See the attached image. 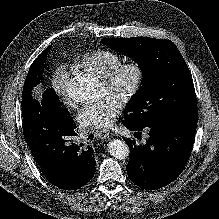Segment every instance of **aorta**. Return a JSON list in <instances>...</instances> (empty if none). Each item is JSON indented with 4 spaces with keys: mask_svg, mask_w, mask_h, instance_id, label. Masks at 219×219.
Instances as JSON below:
<instances>
[{
    "mask_svg": "<svg viewBox=\"0 0 219 219\" xmlns=\"http://www.w3.org/2000/svg\"><path fill=\"white\" fill-rule=\"evenodd\" d=\"M97 82L91 77L78 76L71 79L68 93L74 100L90 101L97 96ZM108 152L116 159L123 160L129 156V147L120 139H113L108 144Z\"/></svg>",
    "mask_w": 219,
    "mask_h": 219,
    "instance_id": "aorta-1",
    "label": "aorta"
}]
</instances>
